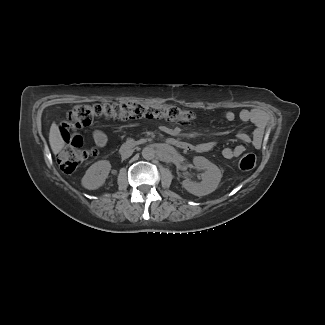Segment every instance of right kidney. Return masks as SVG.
I'll list each match as a JSON object with an SVG mask.
<instances>
[{
	"mask_svg": "<svg viewBox=\"0 0 325 325\" xmlns=\"http://www.w3.org/2000/svg\"><path fill=\"white\" fill-rule=\"evenodd\" d=\"M111 170V164L107 160L97 161L92 164L81 180L84 188L89 190L98 189L102 186Z\"/></svg>",
	"mask_w": 325,
	"mask_h": 325,
	"instance_id": "ca27d5eb",
	"label": "right kidney"
}]
</instances>
